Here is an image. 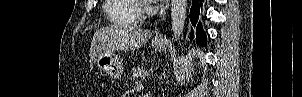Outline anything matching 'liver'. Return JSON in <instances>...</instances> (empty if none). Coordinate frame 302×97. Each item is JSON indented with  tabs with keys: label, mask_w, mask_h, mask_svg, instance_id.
Wrapping results in <instances>:
<instances>
[{
	"label": "liver",
	"mask_w": 302,
	"mask_h": 97,
	"mask_svg": "<svg viewBox=\"0 0 302 97\" xmlns=\"http://www.w3.org/2000/svg\"><path fill=\"white\" fill-rule=\"evenodd\" d=\"M151 37L150 31L131 25H114L97 30L90 48V66L93 67L96 58L107 51H134Z\"/></svg>",
	"instance_id": "1"
}]
</instances>
